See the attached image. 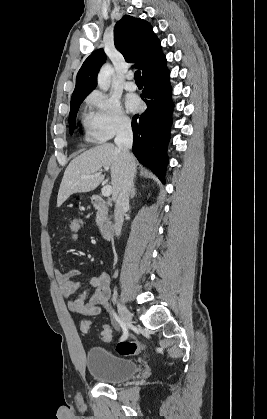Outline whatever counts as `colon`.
Listing matches in <instances>:
<instances>
[{"mask_svg": "<svg viewBox=\"0 0 267 419\" xmlns=\"http://www.w3.org/2000/svg\"><path fill=\"white\" fill-rule=\"evenodd\" d=\"M83 225V221L80 218H73L69 221L68 227L72 234H79V231ZM91 327V322L89 320H84L80 324V330L83 333H87ZM111 329L104 325L101 330V337L104 342H109L111 340ZM146 348V345L137 341H121L116 346V351L121 356H132L136 355Z\"/></svg>", "mask_w": 267, "mask_h": 419, "instance_id": "colon-1", "label": "colon"}]
</instances>
